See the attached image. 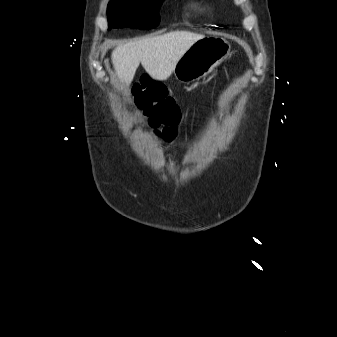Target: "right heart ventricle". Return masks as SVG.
<instances>
[{
  "label": "right heart ventricle",
  "mask_w": 337,
  "mask_h": 337,
  "mask_svg": "<svg viewBox=\"0 0 337 337\" xmlns=\"http://www.w3.org/2000/svg\"><path fill=\"white\" fill-rule=\"evenodd\" d=\"M197 7L202 10L203 9V5L197 4Z\"/></svg>",
  "instance_id": "1"
}]
</instances>
